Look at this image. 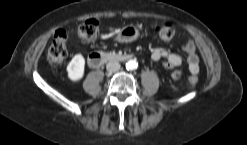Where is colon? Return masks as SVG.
<instances>
[{"label": "colon", "instance_id": "obj_1", "mask_svg": "<svg viewBox=\"0 0 247 145\" xmlns=\"http://www.w3.org/2000/svg\"><path fill=\"white\" fill-rule=\"evenodd\" d=\"M99 30V21L97 19H88L80 23L77 27V34L84 41H92L97 37ZM155 33L162 39L168 40L175 35V27L172 23L165 22L155 26ZM68 55L67 33L64 30H57L53 36L52 43L48 49V60L55 64L62 63ZM182 71L176 69L172 76L175 79L180 78ZM198 82L196 75L187 78L189 85H195Z\"/></svg>", "mask_w": 247, "mask_h": 145}]
</instances>
